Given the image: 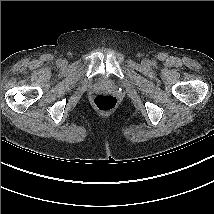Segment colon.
Returning a JSON list of instances; mask_svg holds the SVG:
<instances>
[{
  "label": "colon",
  "mask_w": 214,
  "mask_h": 214,
  "mask_svg": "<svg viewBox=\"0 0 214 214\" xmlns=\"http://www.w3.org/2000/svg\"><path fill=\"white\" fill-rule=\"evenodd\" d=\"M94 105L99 111L109 112L117 106V100L110 94H99L94 98Z\"/></svg>",
  "instance_id": "5ec220e1"
}]
</instances>
